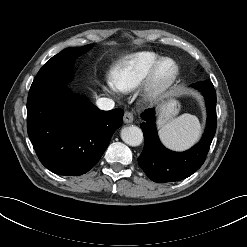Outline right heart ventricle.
<instances>
[{"label": "right heart ventricle", "mask_w": 247, "mask_h": 247, "mask_svg": "<svg viewBox=\"0 0 247 247\" xmlns=\"http://www.w3.org/2000/svg\"><path fill=\"white\" fill-rule=\"evenodd\" d=\"M159 59L161 58L158 54L149 51L127 55L114 67L111 74L112 84L122 92L135 89Z\"/></svg>", "instance_id": "e07e8e85"}]
</instances>
